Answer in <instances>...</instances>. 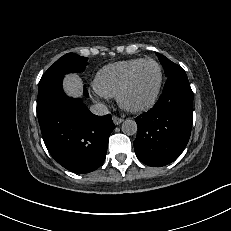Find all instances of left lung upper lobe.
I'll list each match as a JSON object with an SVG mask.
<instances>
[{"label":"left lung upper lobe","mask_w":231,"mask_h":231,"mask_svg":"<svg viewBox=\"0 0 231 231\" xmlns=\"http://www.w3.org/2000/svg\"><path fill=\"white\" fill-rule=\"evenodd\" d=\"M156 55L158 56L159 60H160V63L161 65L163 66L164 68V71H165V75L168 77L170 74L176 72V71H179L181 70L182 68L173 63L172 61H170L168 58H166L165 56H163L162 54L160 53H156Z\"/></svg>","instance_id":"1"}]
</instances>
